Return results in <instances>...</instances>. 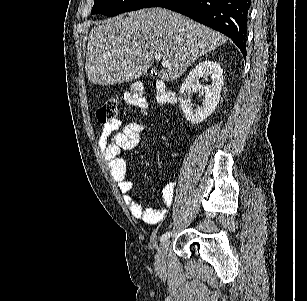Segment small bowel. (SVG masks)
<instances>
[{
  "label": "small bowel",
  "instance_id": "obj_1",
  "mask_svg": "<svg viewBox=\"0 0 307 301\" xmlns=\"http://www.w3.org/2000/svg\"><path fill=\"white\" fill-rule=\"evenodd\" d=\"M144 130L145 125L142 123L131 122L122 126L119 120H114L104 124L99 135L98 145L131 214L148 224H156L160 222L166 209L172 204L175 183L170 182L164 186L162 190L163 207L161 209L146 207L138 203L131 195L132 182L127 178L126 163L119 156L121 150H131L139 144L140 135Z\"/></svg>",
  "mask_w": 307,
  "mask_h": 301
}]
</instances>
